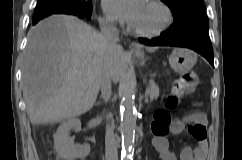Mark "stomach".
I'll list each match as a JSON object with an SVG mask.
<instances>
[{"label": "stomach", "instance_id": "1", "mask_svg": "<svg viewBox=\"0 0 242 160\" xmlns=\"http://www.w3.org/2000/svg\"><path fill=\"white\" fill-rule=\"evenodd\" d=\"M139 57L143 59L142 55H139ZM196 61L195 53L186 48H175L169 57L171 68L180 74L188 73Z\"/></svg>", "mask_w": 242, "mask_h": 160}]
</instances>
